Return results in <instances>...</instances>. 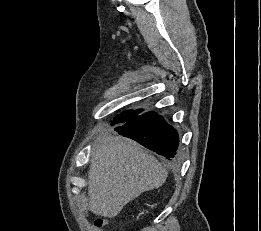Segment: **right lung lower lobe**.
<instances>
[{"label": "right lung lower lobe", "instance_id": "right-lung-lower-lobe-1", "mask_svg": "<svg viewBox=\"0 0 261 231\" xmlns=\"http://www.w3.org/2000/svg\"><path fill=\"white\" fill-rule=\"evenodd\" d=\"M119 134L132 138L159 155L172 159L178 147V133L155 112H146L115 128Z\"/></svg>", "mask_w": 261, "mask_h": 231}]
</instances>
